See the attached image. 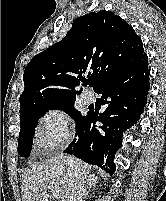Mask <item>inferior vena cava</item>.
<instances>
[{
  "label": "inferior vena cava",
  "mask_w": 166,
  "mask_h": 201,
  "mask_svg": "<svg viewBox=\"0 0 166 201\" xmlns=\"http://www.w3.org/2000/svg\"><path fill=\"white\" fill-rule=\"evenodd\" d=\"M67 161L70 166V174L73 178V186H72V201H83L84 196V177L83 174L80 172L78 163L76 160L71 157L67 156Z\"/></svg>",
  "instance_id": "602c4592"
}]
</instances>
